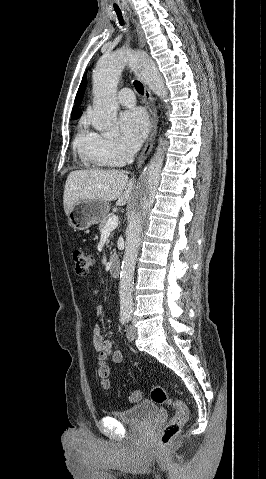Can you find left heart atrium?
I'll list each match as a JSON object with an SVG mask.
<instances>
[{"label":"left heart atrium","mask_w":266,"mask_h":479,"mask_svg":"<svg viewBox=\"0 0 266 479\" xmlns=\"http://www.w3.org/2000/svg\"><path fill=\"white\" fill-rule=\"evenodd\" d=\"M120 128L124 143L130 150L135 151L148 134V117L140 108L128 110L120 117Z\"/></svg>","instance_id":"1"}]
</instances>
